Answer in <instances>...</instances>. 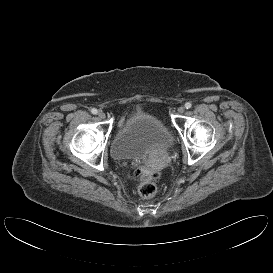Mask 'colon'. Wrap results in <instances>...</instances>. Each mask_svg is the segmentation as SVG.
Instances as JSON below:
<instances>
[{
  "mask_svg": "<svg viewBox=\"0 0 273 273\" xmlns=\"http://www.w3.org/2000/svg\"><path fill=\"white\" fill-rule=\"evenodd\" d=\"M159 174L154 170L143 169L140 171V184L138 194L144 199L152 198L157 193L156 179Z\"/></svg>",
  "mask_w": 273,
  "mask_h": 273,
  "instance_id": "5ec220e1",
  "label": "colon"
}]
</instances>
